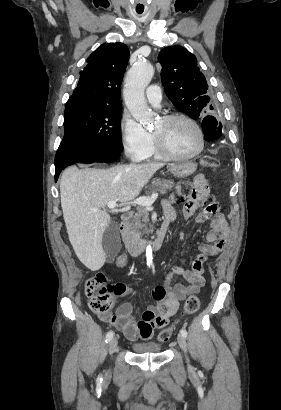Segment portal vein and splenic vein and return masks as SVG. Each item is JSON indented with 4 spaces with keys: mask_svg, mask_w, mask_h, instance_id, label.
Returning a JSON list of instances; mask_svg holds the SVG:
<instances>
[{
    "mask_svg": "<svg viewBox=\"0 0 281 410\" xmlns=\"http://www.w3.org/2000/svg\"><path fill=\"white\" fill-rule=\"evenodd\" d=\"M157 198H158V193L156 192V193H153L150 197L142 196V197L137 198L134 201H125V202H122L120 204H117L116 201H110V202H108L107 207L110 208V209H114V208L122 207V206H127V208H130L128 205L132 204V203L149 207V206H152V204L154 203V201ZM98 210L99 209L94 208L91 211L92 212H97Z\"/></svg>",
    "mask_w": 281,
    "mask_h": 410,
    "instance_id": "1",
    "label": "portal vein and splenic vein"
}]
</instances>
